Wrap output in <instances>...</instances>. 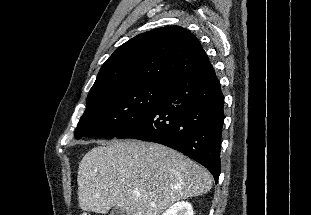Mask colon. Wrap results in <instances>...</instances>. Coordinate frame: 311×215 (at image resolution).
<instances>
[{"instance_id":"colon-1","label":"colon","mask_w":311,"mask_h":215,"mask_svg":"<svg viewBox=\"0 0 311 215\" xmlns=\"http://www.w3.org/2000/svg\"><path fill=\"white\" fill-rule=\"evenodd\" d=\"M80 215H92V214L89 212H82Z\"/></svg>"}]
</instances>
